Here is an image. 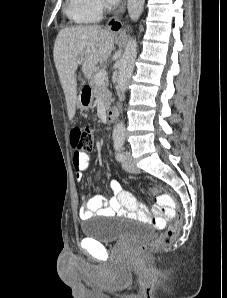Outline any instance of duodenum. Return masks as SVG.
<instances>
[{
    "label": "duodenum",
    "instance_id": "410a0bca",
    "mask_svg": "<svg viewBox=\"0 0 227 298\" xmlns=\"http://www.w3.org/2000/svg\"><path fill=\"white\" fill-rule=\"evenodd\" d=\"M84 92L86 95L90 96L92 93L91 87H89V86L85 87ZM116 118H117V109L115 107H110L106 113L107 121L109 123H113V122H115Z\"/></svg>",
    "mask_w": 227,
    "mask_h": 298
}]
</instances>
